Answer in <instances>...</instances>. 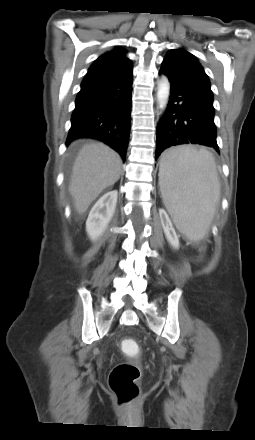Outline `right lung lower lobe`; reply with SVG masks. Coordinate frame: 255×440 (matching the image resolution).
Listing matches in <instances>:
<instances>
[{"instance_id": "right-lung-lower-lobe-1", "label": "right lung lower lobe", "mask_w": 255, "mask_h": 440, "mask_svg": "<svg viewBox=\"0 0 255 440\" xmlns=\"http://www.w3.org/2000/svg\"><path fill=\"white\" fill-rule=\"evenodd\" d=\"M132 65L98 81L81 85L66 144L95 138L125 160L131 126Z\"/></svg>"}]
</instances>
